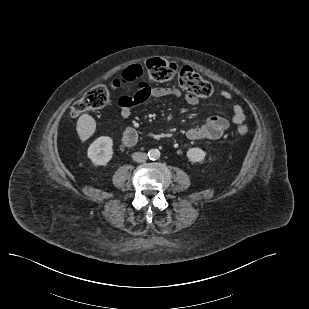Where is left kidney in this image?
Returning a JSON list of instances; mask_svg holds the SVG:
<instances>
[{"label": "left kidney", "instance_id": "5707ae66", "mask_svg": "<svg viewBox=\"0 0 309 309\" xmlns=\"http://www.w3.org/2000/svg\"><path fill=\"white\" fill-rule=\"evenodd\" d=\"M186 156L192 163H203L206 153L201 148L194 147L188 149Z\"/></svg>", "mask_w": 309, "mask_h": 309}]
</instances>
